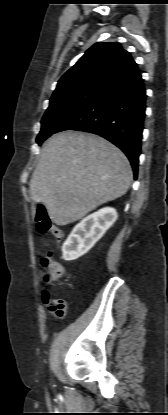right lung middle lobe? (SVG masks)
Listing matches in <instances>:
<instances>
[{
    "label": "right lung middle lobe",
    "mask_w": 168,
    "mask_h": 415,
    "mask_svg": "<svg viewBox=\"0 0 168 415\" xmlns=\"http://www.w3.org/2000/svg\"><path fill=\"white\" fill-rule=\"evenodd\" d=\"M101 93L102 91L97 90H80L50 99V105L41 121V131L37 136V143L40 145L49 136L56 133L65 122Z\"/></svg>",
    "instance_id": "dd1d6c3e"
}]
</instances>
